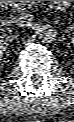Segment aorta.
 I'll return each mask as SVG.
<instances>
[{"label": "aorta", "instance_id": "aorta-1", "mask_svg": "<svg viewBox=\"0 0 74 122\" xmlns=\"http://www.w3.org/2000/svg\"><path fill=\"white\" fill-rule=\"evenodd\" d=\"M38 39L44 43L48 44L51 43L56 37V30L54 27L48 24H44L39 26L37 31Z\"/></svg>", "mask_w": 74, "mask_h": 122}]
</instances>
